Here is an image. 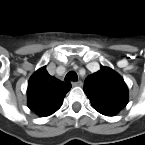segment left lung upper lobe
Listing matches in <instances>:
<instances>
[{
  "instance_id": "1",
  "label": "left lung upper lobe",
  "mask_w": 145,
  "mask_h": 145,
  "mask_svg": "<svg viewBox=\"0 0 145 145\" xmlns=\"http://www.w3.org/2000/svg\"><path fill=\"white\" fill-rule=\"evenodd\" d=\"M84 92L99 113L115 116L128 103V88L123 78L109 67L102 66L84 82Z\"/></svg>"
}]
</instances>
